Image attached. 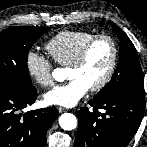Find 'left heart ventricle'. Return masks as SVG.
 I'll return each instance as SVG.
<instances>
[{"instance_id":"1","label":"left heart ventricle","mask_w":147,"mask_h":147,"mask_svg":"<svg viewBox=\"0 0 147 147\" xmlns=\"http://www.w3.org/2000/svg\"><path fill=\"white\" fill-rule=\"evenodd\" d=\"M112 58L109 41L102 39L92 47L85 63L79 68H68L67 78L81 79L89 87L97 84L106 74Z\"/></svg>"}]
</instances>
